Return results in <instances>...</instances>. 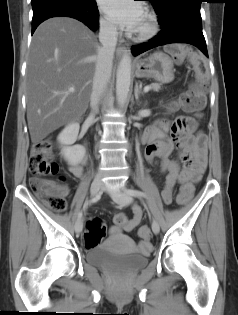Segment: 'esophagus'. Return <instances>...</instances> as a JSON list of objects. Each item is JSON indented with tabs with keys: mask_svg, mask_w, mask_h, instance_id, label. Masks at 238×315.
<instances>
[{
	"mask_svg": "<svg viewBox=\"0 0 238 315\" xmlns=\"http://www.w3.org/2000/svg\"><path fill=\"white\" fill-rule=\"evenodd\" d=\"M125 51H126L125 46L119 44L117 49H116V54H117L118 57H120V56H122L125 53Z\"/></svg>",
	"mask_w": 238,
	"mask_h": 315,
	"instance_id": "1",
	"label": "esophagus"
}]
</instances>
